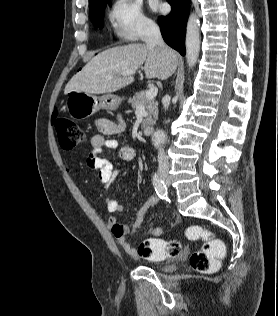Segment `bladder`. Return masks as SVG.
I'll return each mask as SVG.
<instances>
[{
    "mask_svg": "<svg viewBox=\"0 0 278 316\" xmlns=\"http://www.w3.org/2000/svg\"><path fill=\"white\" fill-rule=\"evenodd\" d=\"M146 266L154 269V270H159V271H170L172 269V265L169 264H153V263H149Z\"/></svg>",
    "mask_w": 278,
    "mask_h": 316,
    "instance_id": "31cf9c89",
    "label": "bladder"
}]
</instances>
